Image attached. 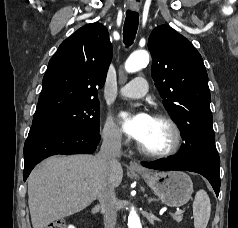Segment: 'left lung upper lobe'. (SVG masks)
I'll list each match as a JSON object with an SVG mask.
<instances>
[{
  "instance_id": "1",
  "label": "left lung upper lobe",
  "mask_w": 238,
  "mask_h": 228,
  "mask_svg": "<svg viewBox=\"0 0 238 228\" xmlns=\"http://www.w3.org/2000/svg\"><path fill=\"white\" fill-rule=\"evenodd\" d=\"M148 48L155 86L185 141L177 157L186 161L216 150L208 75L200 53L168 25L152 31Z\"/></svg>"
}]
</instances>
